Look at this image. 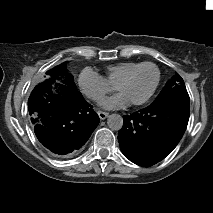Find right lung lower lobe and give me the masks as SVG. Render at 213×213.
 <instances>
[{"instance_id":"right-lung-lower-lobe-1","label":"right lung lower lobe","mask_w":213,"mask_h":213,"mask_svg":"<svg viewBox=\"0 0 213 213\" xmlns=\"http://www.w3.org/2000/svg\"><path fill=\"white\" fill-rule=\"evenodd\" d=\"M54 82L48 79L34 88L28 110L39 141L65 157L85 144L99 124V117L76 87L66 83L54 92Z\"/></svg>"}]
</instances>
